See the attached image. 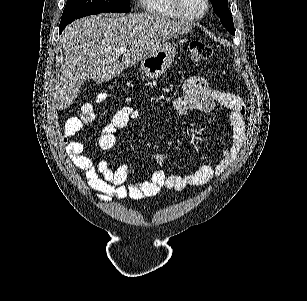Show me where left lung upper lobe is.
<instances>
[{
    "label": "left lung upper lobe",
    "mask_w": 307,
    "mask_h": 301,
    "mask_svg": "<svg viewBox=\"0 0 307 301\" xmlns=\"http://www.w3.org/2000/svg\"><path fill=\"white\" fill-rule=\"evenodd\" d=\"M214 8V12L220 17L223 26L235 35V29L232 19V14L228 9V0H210Z\"/></svg>",
    "instance_id": "obj_1"
}]
</instances>
